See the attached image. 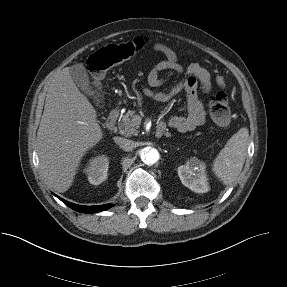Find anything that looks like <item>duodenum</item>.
<instances>
[{
  "instance_id": "410a0bca",
  "label": "duodenum",
  "mask_w": 287,
  "mask_h": 287,
  "mask_svg": "<svg viewBox=\"0 0 287 287\" xmlns=\"http://www.w3.org/2000/svg\"><path fill=\"white\" fill-rule=\"evenodd\" d=\"M118 114H119V110L118 109H113L110 112V114L108 115V117L106 118V121H105L106 128L112 129L114 127L115 122H116L117 117H118ZM164 131H165V127L163 125H158L157 126L156 134L158 136L163 135Z\"/></svg>"
}]
</instances>
